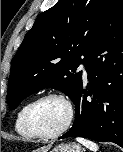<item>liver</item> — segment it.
Segmentation results:
<instances>
[{"mask_svg":"<svg viewBox=\"0 0 123 152\" xmlns=\"http://www.w3.org/2000/svg\"><path fill=\"white\" fill-rule=\"evenodd\" d=\"M49 149H50V146H45V147L35 150L34 152H48Z\"/></svg>","mask_w":123,"mask_h":152,"instance_id":"6515ba94","label":"liver"}]
</instances>
